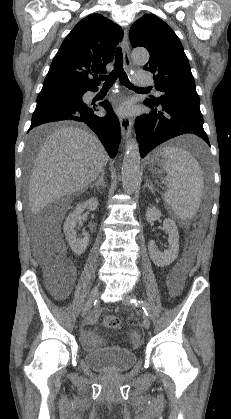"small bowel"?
<instances>
[{
	"label": "small bowel",
	"mask_w": 231,
	"mask_h": 419,
	"mask_svg": "<svg viewBox=\"0 0 231 419\" xmlns=\"http://www.w3.org/2000/svg\"><path fill=\"white\" fill-rule=\"evenodd\" d=\"M74 279V274L72 273L71 278L67 282V286H65L61 291L60 295H63L67 291L68 285L72 283ZM170 291L172 296H175L178 292V285L175 282H172L170 284ZM101 312L100 310L93 311L85 320L83 328H82V340L83 345L86 349L91 350L95 347V345L100 341V337L98 334L94 331L89 329L90 326H93L97 323V320L100 316Z\"/></svg>",
	"instance_id": "small-bowel-1"
}]
</instances>
